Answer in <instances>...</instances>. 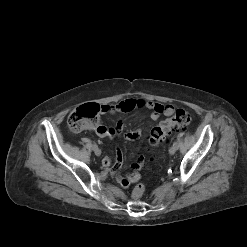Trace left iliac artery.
I'll list each match as a JSON object with an SVG mask.
<instances>
[{
  "mask_svg": "<svg viewBox=\"0 0 247 247\" xmlns=\"http://www.w3.org/2000/svg\"><path fill=\"white\" fill-rule=\"evenodd\" d=\"M173 146L178 147V142H177V141H175V142L173 143Z\"/></svg>",
  "mask_w": 247,
  "mask_h": 247,
  "instance_id": "obj_1",
  "label": "left iliac artery"
}]
</instances>
